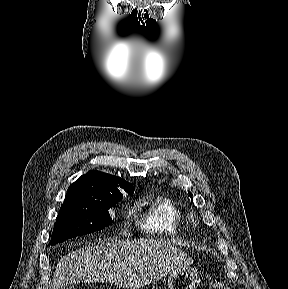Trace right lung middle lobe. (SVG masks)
<instances>
[{
  "mask_svg": "<svg viewBox=\"0 0 288 289\" xmlns=\"http://www.w3.org/2000/svg\"><path fill=\"white\" fill-rule=\"evenodd\" d=\"M133 192L127 191L128 194ZM122 198L120 191H107L95 196L67 194L56 219L49 245L108 226L112 221L108 210Z\"/></svg>",
  "mask_w": 288,
  "mask_h": 289,
  "instance_id": "dd1d6c3e",
  "label": "right lung middle lobe"
}]
</instances>
